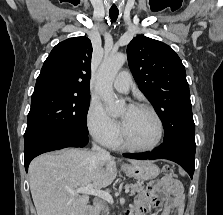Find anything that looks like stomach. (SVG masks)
<instances>
[{
	"mask_svg": "<svg viewBox=\"0 0 223 215\" xmlns=\"http://www.w3.org/2000/svg\"><path fill=\"white\" fill-rule=\"evenodd\" d=\"M121 169H123L126 175L129 177H134V179H143L147 181V179H154L159 175V167L155 165L153 161H139V163H125L122 165Z\"/></svg>",
	"mask_w": 223,
	"mask_h": 215,
	"instance_id": "stomach-1",
	"label": "stomach"
}]
</instances>
